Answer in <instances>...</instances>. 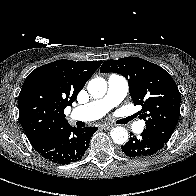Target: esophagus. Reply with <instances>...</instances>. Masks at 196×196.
<instances>
[{
	"label": "esophagus",
	"mask_w": 196,
	"mask_h": 196,
	"mask_svg": "<svg viewBox=\"0 0 196 196\" xmlns=\"http://www.w3.org/2000/svg\"><path fill=\"white\" fill-rule=\"evenodd\" d=\"M101 127H102L103 129H110V128L113 127V125H110V124H103Z\"/></svg>",
	"instance_id": "esophagus-1"
}]
</instances>
